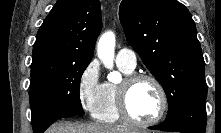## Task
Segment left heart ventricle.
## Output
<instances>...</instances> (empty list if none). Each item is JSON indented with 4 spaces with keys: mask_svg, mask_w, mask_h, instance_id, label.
I'll use <instances>...</instances> for the list:
<instances>
[{
    "mask_svg": "<svg viewBox=\"0 0 221 133\" xmlns=\"http://www.w3.org/2000/svg\"><path fill=\"white\" fill-rule=\"evenodd\" d=\"M129 109L140 121L153 119L160 109V96L155 85L147 80L136 83L129 93Z\"/></svg>",
    "mask_w": 221,
    "mask_h": 133,
    "instance_id": "b2bd125f",
    "label": "left heart ventricle"
}]
</instances>
